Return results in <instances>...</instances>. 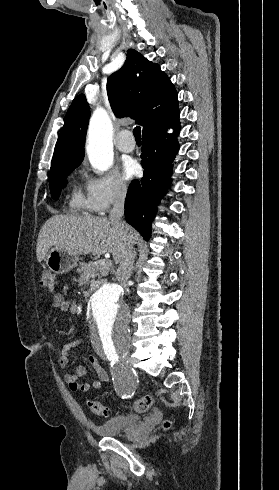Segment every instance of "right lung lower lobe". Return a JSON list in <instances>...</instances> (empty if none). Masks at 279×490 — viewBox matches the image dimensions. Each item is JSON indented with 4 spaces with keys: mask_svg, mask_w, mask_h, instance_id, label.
<instances>
[{
    "mask_svg": "<svg viewBox=\"0 0 279 490\" xmlns=\"http://www.w3.org/2000/svg\"><path fill=\"white\" fill-rule=\"evenodd\" d=\"M169 128L177 130L167 133ZM179 120L155 133L143 135L141 163L143 178L133 180L125 201V218L145 240L150 238L151 222L156 214L159 200L171 183L172 162L179 150L177 135Z\"/></svg>",
    "mask_w": 279,
    "mask_h": 490,
    "instance_id": "right-lung-lower-lobe-1",
    "label": "right lung lower lobe"
}]
</instances>
